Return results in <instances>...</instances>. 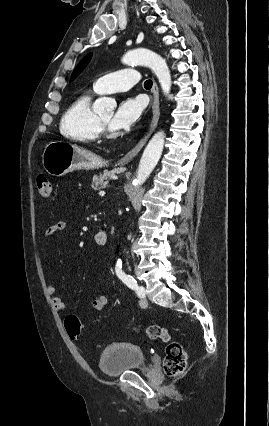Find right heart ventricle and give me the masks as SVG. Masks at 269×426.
I'll return each mask as SVG.
<instances>
[{
    "label": "right heart ventricle",
    "mask_w": 269,
    "mask_h": 426,
    "mask_svg": "<svg viewBox=\"0 0 269 426\" xmlns=\"http://www.w3.org/2000/svg\"><path fill=\"white\" fill-rule=\"evenodd\" d=\"M93 94L86 92L77 97L62 116L60 131L66 137L91 142L98 138L101 128L92 109Z\"/></svg>",
    "instance_id": "1"
}]
</instances>
